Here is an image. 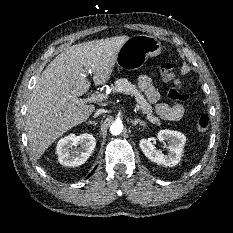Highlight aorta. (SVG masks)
<instances>
[{"label": "aorta", "mask_w": 233, "mask_h": 233, "mask_svg": "<svg viewBox=\"0 0 233 233\" xmlns=\"http://www.w3.org/2000/svg\"><path fill=\"white\" fill-rule=\"evenodd\" d=\"M123 130V125L121 122H114L111 127L110 131L113 135H119Z\"/></svg>", "instance_id": "1"}]
</instances>
